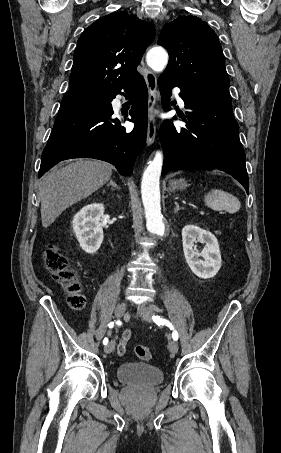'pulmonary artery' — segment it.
Wrapping results in <instances>:
<instances>
[{
  "instance_id": "e3ab8cb5",
  "label": "pulmonary artery",
  "mask_w": 281,
  "mask_h": 453,
  "mask_svg": "<svg viewBox=\"0 0 281 453\" xmlns=\"http://www.w3.org/2000/svg\"><path fill=\"white\" fill-rule=\"evenodd\" d=\"M180 94V91L179 90H175L174 91V96L177 98L178 100V103L180 106H184V102L183 100L181 99V97L179 96ZM121 102H122V97L120 95H117L113 101H112V104L115 108H118L120 105H121Z\"/></svg>"
}]
</instances>
